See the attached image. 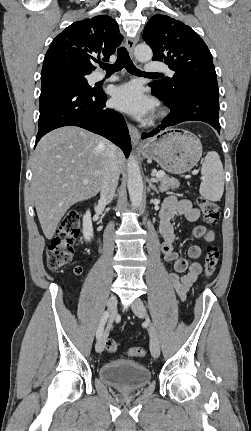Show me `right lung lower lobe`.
Here are the masks:
<instances>
[{"label":"right lung lower lobe","mask_w":251,"mask_h":431,"mask_svg":"<svg viewBox=\"0 0 251 431\" xmlns=\"http://www.w3.org/2000/svg\"><path fill=\"white\" fill-rule=\"evenodd\" d=\"M106 100L101 88L86 89L65 77L42 79L35 146L56 128L79 126L111 140L127 157L131 149L128 128L120 113L106 108Z\"/></svg>","instance_id":"98d812e1"}]
</instances>
